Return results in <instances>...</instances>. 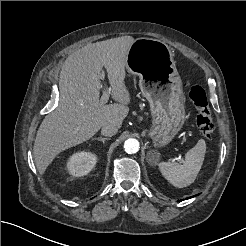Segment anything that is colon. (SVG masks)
I'll use <instances>...</instances> for the list:
<instances>
[{"mask_svg": "<svg viewBox=\"0 0 246 246\" xmlns=\"http://www.w3.org/2000/svg\"><path fill=\"white\" fill-rule=\"evenodd\" d=\"M188 97L198 111L196 124L200 134L205 138H211L215 124L205 90L201 86L194 85L189 89Z\"/></svg>", "mask_w": 246, "mask_h": 246, "instance_id": "1", "label": "colon"}]
</instances>
